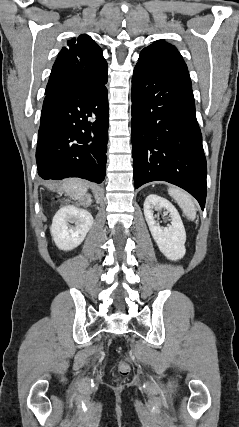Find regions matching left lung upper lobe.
Here are the masks:
<instances>
[{
  "instance_id": "left-lung-upper-lobe-1",
  "label": "left lung upper lobe",
  "mask_w": 239,
  "mask_h": 427,
  "mask_svg": "<svg viewBox=\"0 0 239 427\" xmlns=\"http://www.w3.org/2000/svg\"><path fill=\"white\" fill-rule=\"evenodd\" d=\"M138 63L191 84L189 72L181 54L164 40H158L144 48Z\"/></svg>"
}]
</instances>
